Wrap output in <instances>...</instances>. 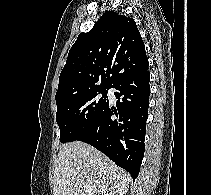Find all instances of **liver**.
Masks as SVG:
<instances>
[{"instance_id":"liver-1","label":"liver","mask_w":211,"mask_h":195,"mask_svg":"<svg viewBox=\"0 0 211 195\" xmlns=\"http://www.w3.org/2000/svg\"><path fill=\"white\" fill-rule=\"evenodd\" d=\"M53 195H124L130 175L93 146L75 141L61 146Z\"/></svg>"}]
</instances>
